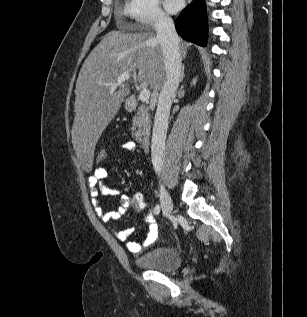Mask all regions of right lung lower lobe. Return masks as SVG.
Returning a JSON list of instances; mask_svg holds the SVG:
<instances>
[{
    "label": "right lung lower lobe",
    "mask_w": 307,
    "mask_h": 317,
    "mask_svg": "<svg viewBox=\"0 0 307 317\" xmlns=\"http://www.w3.org/2000/svg\"><path fill=\"white\" fill-rule=\"evenodd\" d=\"M207 28L204 0H193L176 19V30L180 36L201 46L207 43Z\"/></svg>",
    "instance_id": "obj_1"
}]
</instances>
